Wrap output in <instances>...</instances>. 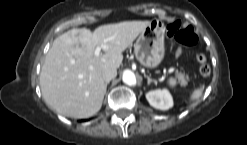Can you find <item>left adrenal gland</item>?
I'll list each match as a JSON object with an SVG mask.
<instances>
[{"label": "left adrenal gland", "mask_w": 247, "mask_h": 145, "mask_svg": "<svg viewBox=\"0 0 247 145\" xmlns=\"http://www.w3.org/2000/svg\"><path fill=\"white\" fill-rule=\"evenodd\" d=\"M144 77L147 78L148 85H150V83H152V82L155 83V85H157V81L151 79L148 75L144 74Z\"/></svg>", "instance_id": "obj_1"}]
</instances>
